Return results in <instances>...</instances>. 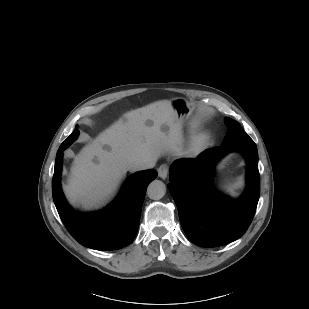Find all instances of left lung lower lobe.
Masks as SVG:
<instances>
[{"label":"left lung lower lobe","mask_w":309,"mask_h":309,"mask_svg":"<svg viewBox=\"0 0 309 309\" xmlns=\"http://www.w3.org/2000/svg\"><path fill=\"white\" fill-rule=\"evenodd\" d=\"M230 151L241 152L247 162V187L238 200L218 194L210 181L216 161ZM169 188L188 238L202 247L233 242L248 229L260 194L258 152L253 140L205 150L197 158H181L170 169Z\"/></svg>","instance_id":"0a47b994"}]
</instances>
